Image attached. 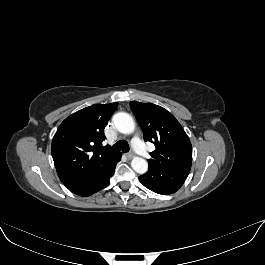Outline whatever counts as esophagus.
I'll return each mask as SVG.
<instances>
[{"mask_svg": "<svg viewBox=\"0 0 265 265\" xmlns=\"http://www.w3.org/2000/svg\"><path fill=\"white\" fill-rule=\"evenodd\" d=\"M126 156L128 159H132L135 156V154L133 152H129L126 154Z\"/></svg>", "mask_w": 265, "mask_h": 265, "instance_id": "esophagus-1", "label": "esophagus"}]
</instances>
